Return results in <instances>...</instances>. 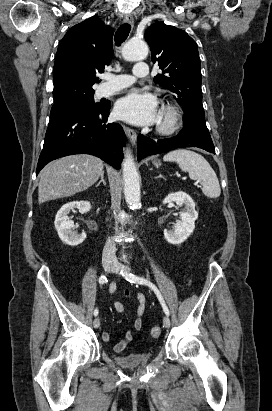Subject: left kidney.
I'll return each instance as SVG.
<instances>
[{
	"label": "left kidney",
	"instance_id": "5707ae66",
	"mask_svg": "<svg viewBox=\"0 0 272 411\" xmlns=\"http://www.w3.org/2000/svg\"><path fill=\"white\" fill-rule=\"evenodd\" d=\"M170 202L184 206L183 211L180 212L181 221L174 226L173 230H164V238L166 241L178 245L183 243L193 233L198 212L195 209L193 199L185 192L179 191L168 194L163 200V204Z\"/></svg>",
	"mask_w": 272,
	"mask_h": 411
}]
</instances>
